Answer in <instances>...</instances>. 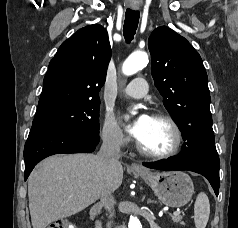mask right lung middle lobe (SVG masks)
Instances as JSON below:
<instances>
[{"mask_svg": "<svg viewBox=\"0 0 238 228\" xmlns=\"http://www.w3.org/2000/svg\"><path fill=\"white\" fill-rule=\"evenodd\" d=\"M100 101H85L35 117L33 127L72 128L99 134Z\"/></svg>", "mask_w": 238, "mask_h": 228, "instance_id": "obj_1", "label": "right lung middle lobe"}]
</instances>
